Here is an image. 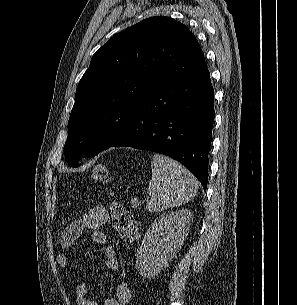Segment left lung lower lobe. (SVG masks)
I'll return each instance as SVG.
<instances>
[{
  "label": "left lung lower lobe",
  "mask_w": 297,
  "mask_h": 305,
  "mask_svg": "<svg viewBox=\"0 0 297 305\" xmlns=\"http://www.w3.org/2000/svg\"><path fill=\"white\" fill-rule=\"evenodd\" d=\"M213 98L206 67L170 79L133 109L121 134L102 150L130 146L168 155L189 169L206 190Z\"/></svg>",
  "instance_id": "0a47b994"
}]
</instances>
